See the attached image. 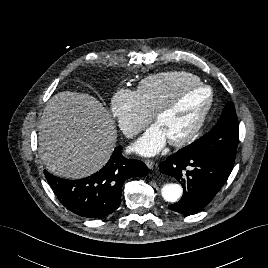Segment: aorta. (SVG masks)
<instances>
[{"label":"aorta","mask_w":268,"mask_h":268,"mask_svg":"<svg viewBox=\"0 0 268 268\" xmlns=\"http://www.w3.org/2000/svg\"><path fill=\"white\" fill-rule=\"evenodd\" d=\"M182 195V187L177 183H168L162 187V197L168 202H176Z\"/></svg>","instance_id":"aorta-1"}]
</instances>
